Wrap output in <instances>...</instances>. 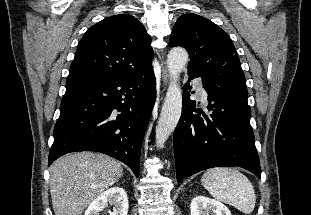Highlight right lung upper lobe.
<instances>
[{
    "instance_id": "obj_1",
    "label": "right lung upper lobe",
    "mask_w": 311,
    "mask_h": 215,
    "mask_svg": "<svg viewBox=\"0 0 311 215\" xmlns=\"http://www.w3.org/2000/svg\"><path fill=\"white\" fill-rule=\"evenodd\" d=\"M153 56L151 38L138 19L131 15L110 16L86 31L67 80L143 75L153 70Z\"/></svg>"
}]
</instances>
